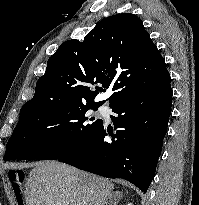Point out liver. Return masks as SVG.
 Listing matches in <instances>:
<instances>
[{
  "label": "liver",
  "mask_w": 199,
  "mask_h": 205,
  "mask_svg": "<svg viewBox=\"0 0 199 205\" xmlns=\"http://www.w3.org/2000/svg\"><path fill=\"white\" fill-rule=\"evenodd\" d=\"M114 184L57 161L37 162L25 185L27 205H116Z\"/></svg>",
  "instance_id": "obj_1"
}]
</instances>
